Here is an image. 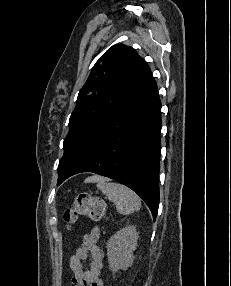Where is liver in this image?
I'll return each mask as SVG.
<instances>
[{"instance_id": "1", "label": "liver", "mask_w": 231, "mask_h": 286, "mask_svg": "<svg viewBox=\"0 0 231 286\" xmlns=\"http://www.w3.org/2000/svg\"><path fill=\"white\" fill-rule=\"evenodd\" d=\"M102 179L101 177H98V176H93V177H89L85 180V182H94V181H98Z\"/></svg>"}]
</instances>
